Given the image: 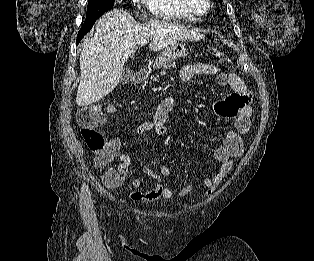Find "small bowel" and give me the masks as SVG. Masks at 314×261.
<instances>
[{
    "label": "small bowel",
    "mask_w": 314,
    "mask_h": 261,
    "mask_svg": "<svg viewBox=\"0 0 314 261\" xmlns=\"http://www.w3.org/2000/svg\"><path fill=\"white\" fill-rule=\"evenodd\" d=\"M220 70L217 66L210 63L196 62L185 65L180 71V78L184 82L190 81L195 75H218ZM227 82L232 90V94L218 100L214 104V110L217 116L222 119L234 120V129L226 133L223 142L217 146L213 151L215 160L219 163L217 172L212 177H207L203 182V194L209 196L214 193L218 185L223 181L225 176L230 172L233 166V158L242 155L244 150V143L241 138L249 132L251 123L250 117L252 114V97L251 93L246 87L245 82L235 73L226 74ZM173 98L167 97L159 104L154 119L140 124L137 127L138 135H145L147 133H154L159 136L166 135L164 122L173 106ZM116 150L108 161V164L115 158L119 163L115 170L110 172H117L122 175L124 179L127 175L128 169L132 164V158L128 154L119 152V140H113ZM98 168H101L97 165ZM103 169V168H101ZM144 172L151 179L150 183H145L139 178H133L131 185L138 189L130 193V197L134 200L154 201L158 198H171L172 191L160 184L161 177H167L172 174V169L166 165H162L157 172L151 166H145ZM140 190H145L144 192ZM192 191V185L187 184L179 191L180 196H186Z\"/></svg>",
    "instance_id": "obj_1"
}]
</instances>
